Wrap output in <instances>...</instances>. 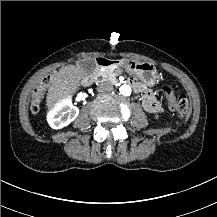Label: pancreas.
<instances>
[{"label":"pancreas","instance_id":"obj_1","mask_svg":"<svg viewBox=\"0 0 217 217\" xmlns=\"http://www.w3.org/2000/svg\"><path fill=\"white\" fill-rule=\"evenodd\" d=\"M123 70L121 68H112L108 70H104L102 75L104 78L110 80L113 83H117L116 77L121 75Z\"/></svg>","mask_w":217,"mask_h":217}]
</instances>
